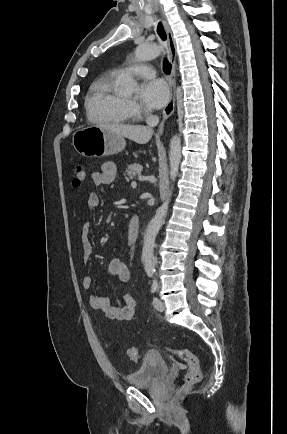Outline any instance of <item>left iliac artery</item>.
I'll return each instance as SVG.
<instances>
[{
	"label": "left iliac artery",
	"instance_id": "44dca946",
	"mask_svg": "<svg viewBox=\"0 0 287 434\" xmlns=\"http://www.w3.org/2000/svg\"><path fill=\"white\" fill-rule=\"evenodd\" d=\"M157 286H158L157 281H156V280H153V284H152V288H151V292H152V293H155V292H156V290H157Z\"/></svg>",
	"mask_w": 287,
	"mask_h": 434
}]
</instances>
